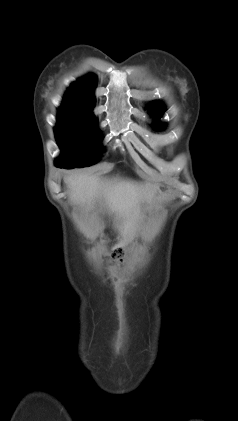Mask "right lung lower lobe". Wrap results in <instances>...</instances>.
Wrapping results in <instances>:
<instances>
[{
    "mask_svg": "<svg viewBox=\"0 0 238 421\" xmlns=\"http://www.w3.org/2000/svg\"><path fill=\"white\" fill-rule=\"evenodd\" d=\"M56 165V167H59V168H62L60 165H58V164H55Z\"/></svg>",
    "mask_w": 238,
    "mask_h": 421,
    "instance_id": "1",
    "label": "right lung lower lobe"
}]
</instances>
